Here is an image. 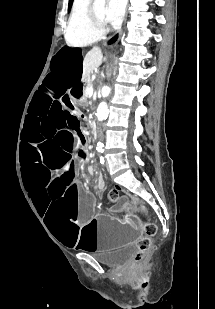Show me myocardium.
<instances>
[{"instance_id": "1", "label": "myocardium", "mask_w": 215, "mask_h": 309, "mask_svg": "<svg viewBox=\"0 0 215 309\" xmlns=\"http://www.w3.org/2000/svg\"><path fill=\"white\" fill-rule=\"evenodd\" d=\"M83 13L86 17H90V20H93L89 25L91 26L89 30H97L93 31L92 35H101L100 32H105L106 30H109V25L111 24V21L108 19H95L94 12L91 11V9H84Z\"/></svg>"}]
</instances>
